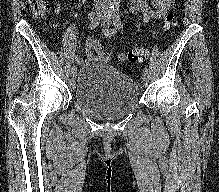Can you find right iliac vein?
Wrapping results in <instances>:
<instances>
[{
	"mask_svg": "<svg viewBox=\"0 0 219 192\" xmlns=\"http://www.w3.org/2000/svg\"><path fill=\"white\" fill-rule=\"evenodd\" d=\"M102 10L100 9V8H97L96 10H95V12H94V15L95 16H100V15H102ZM76 73H77V66L76 65H73L72 67H71V69H70V75L72 76V77H74L75 75H76Z\"/></svg>",
	"mask_w": 219,
	"mask_h": 192,
	"instance_id": "obj_1",
	"label": "right iliac vein"
}]
</instances>
